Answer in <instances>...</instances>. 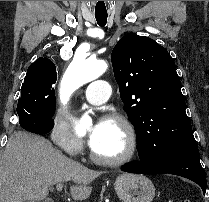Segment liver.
<instances>
[{
	"mask_svg": "<svg viewBox=\"0 0 209 202\" xmlns=\"http://www.w3.org/2000/svg\"><path fill=\"white\" fill-rule=\"evenodd\" d=\"M101 171H94L69 159L44 137L14 132L0 159V202L41 201L54 184L73 181L74 200L87 199L90 183Z\"/></svg>",
	"mask_w": 209,
	"mask_h": 202,
	"instance_id": "liver-1",
	"label": "liver"
}]
</instances>
